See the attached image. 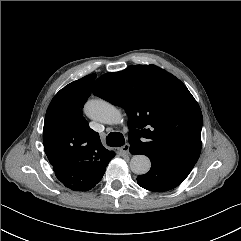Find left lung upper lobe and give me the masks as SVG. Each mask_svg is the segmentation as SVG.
<instances>
[{
  "label": "left lung upper lobe",
  "instance_id": "obj_1",
  "mask_svg": "<svg viewBox=\"0 0 241 241\" xmlns=\"http://www.w3.org/2000/svg\"><path fill=\"white\" fill-rule=\"evenodd\" d=\"M93 93L126 111L130 146L150 159L193 169L203 118L178 78L155 65L130 66L99 77Z\"/></svg>",
  "mask_w": 241,
  "mask_h": 241
}]
</instances>
